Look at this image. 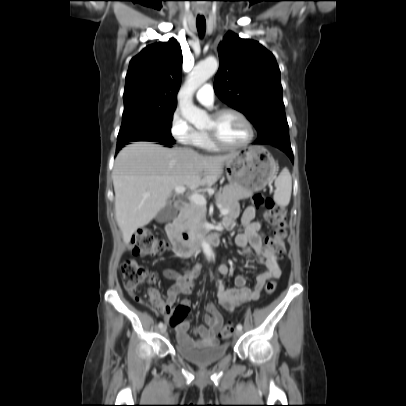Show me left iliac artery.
Returning a JSON list of instances; mask_svg holds the SVG:
<instances>
[{
    "label": "left iliac artery",
    "instance_id": "left-iliac-artery-1",
    "mask_svg": "<svg viewBox=\"0 0 406 406\" xmlns=\"http://www.w3.org/2000/svg\"><path fill=\"white\" fill-rule=\"evenodd\" d=\"M236 328H237L238 330H242V325H241V324H238V325L236 326Z\"/></svg>",
    "mask_w": 406,
    "mask_h": 406
}]
</instances>
